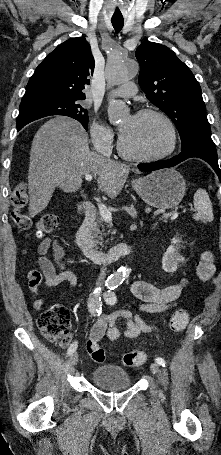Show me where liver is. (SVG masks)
Listing matches in <instances>:
<instances>
[{
    "label": "liver",
    "mask_w": 221,
    "mask_h": 455,
    "mask_svg": "<svg viewBox=\"0 0 221 455\" xmlns=\"http://www.w3.org/2000/svg\"><path fill=\"white\" fill-rule=\"evenodd\" d=\"M130 167L90 151L88 134L69 117L57 116L34 136L28 172L29 215L36 216L49 204L56 187L72 193L86 174L98 175V190L110 198L121 192Z\"/></svg>",
    "instance_id": "liver-1"
}]
</instances>
